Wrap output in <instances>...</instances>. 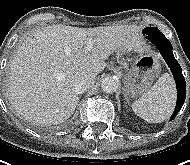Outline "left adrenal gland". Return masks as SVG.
<instances>
[{
  "instance_id": "a2214340",
  "label": "left adrenal gland",
  "mask_w": 190,
  "mask_h": 165,
  "mask_svg": "<svg viewBox=\"0 0 190 165\" xmlns=\"http://www.w3.org/2000/svg\"><path fill=\"white\" fill-rule=\"evenodd\" d=\"M125 100L127 101V103L129 104V99L128 97L125 95Z\"/></svg>"
}]
</instances>
